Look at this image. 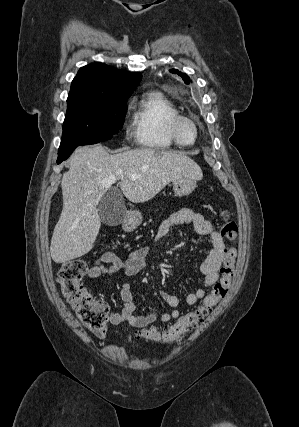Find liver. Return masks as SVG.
I'll return each mask as SVG.
<instances>
[{
    "mask_svg": "<svg viewBox=\"0 0 299 427\" xmlns=\"http://www.w3.org/2000/svg\"><path fill=\"white\" fill-rule=\"evenodd\" d=\"M69 164L61 182L63 209L50 245L51 257L58 264L81 257L93 248L101 227L97 205L108 187L102 184L104 180H119L129 201L144 203L178 178L203 177L201 168L186 154L151 148L111 155L101 145L82 146L74 151ZM128 174L138 178L132 180Z\"/></svg>",
    "mask_w": 299,
    "mask_h": 427,
    "instance_id": "liver-1",
    "label": "liver"
}]
</instances>
